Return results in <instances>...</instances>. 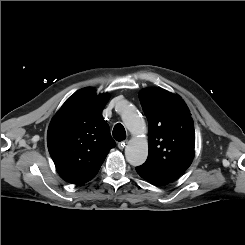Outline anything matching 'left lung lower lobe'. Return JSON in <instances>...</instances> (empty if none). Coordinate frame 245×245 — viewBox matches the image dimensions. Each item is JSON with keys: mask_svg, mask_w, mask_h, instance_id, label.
I'll return each instance as SVG.
<instances>
[{"mask_svg": "<svg viewBox=\"0 0 245 245\" xmlns=\"http://www.w3.org/2000/svg\"><path fill=\"white\" fill-rule=\"evenodd\" d=\"M137 173L146 181L150 182L151 184L158 185V186H164L167 184L172 183L175 180L161 177L155 174H151L149 172H146L138 167H136Z\"/></svg>", "mask_w": 245, "mask_h": 245, "instance_id": "1", "label": "left lung lower lobe"}]
</instances>
